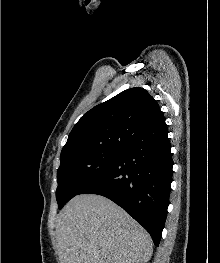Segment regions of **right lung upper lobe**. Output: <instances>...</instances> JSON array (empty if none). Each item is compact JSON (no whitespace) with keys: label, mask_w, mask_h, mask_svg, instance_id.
Segmentation results:
<instances>
[{"label":"right lung upper lobe","mask_w":220,"mask_h":263,"mask_svg":"<svg viewBox=\"0 0 220 263\" xmlns=\"http://www.w3.org/2000/svg\"><path fill=\"white\" fill-rule=\"evenodd\" d=\"M167 133L163 112L140 87L127 89L101 103L75 124L61 155L92 148L125 149L139 139Z\"/></svg>","instance_id":"obj_1"}]
</instances>
